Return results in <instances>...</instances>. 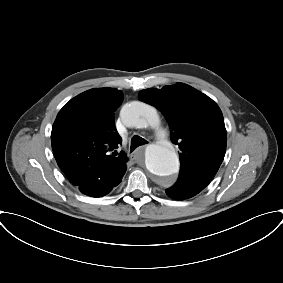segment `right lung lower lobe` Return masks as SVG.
Returning <instances> with one entry per match:
<instances>
[{"label":"right lung lower lobe","instance_id":"98d812e1","mask_svg":"<svg viewBox=\"0 0 283 283\" xmlns=\"http://www.w3.org/2000/svg\"><path fill=\"white\" fill-rule=\"evenodd\" d=\"M124 170L123 173L125 174L127 166ZM123 175L112 177L110 171L105 170L100 172L98 177L85 181L78 186V188L82 193L88 196L101 197L108 194L114 187H116L121 182Z\"/></svg>","mask_w":283,"mask_h":283}]
</instances>
